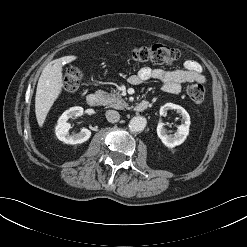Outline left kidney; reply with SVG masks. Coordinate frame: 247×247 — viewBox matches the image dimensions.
I'll use <instances>...</instances> for the list:
<instances>
[{
	"label": "left kidney",
	"instance_id": "1",
	"mask_svg": "<svg viewBox=\"0 0 247 247\" xmlns=\"http://www.w3.org/2000/svg\"><path fill=\"white\" fill-rule=\"evenodd\" d=\"M170 109H174L177 113H180L183 123L177 127L175 134L171 135L168 134L167 130L163 127V123L160 122L157 126V135L165 146L173 148L181 145L186 140L191 122L188 112L183 107L173 103H166L161 106L160 115L165 116Z\"/></svg>",
	"mask_w": 247,
	"mask_h": 247
}]
</instances>
